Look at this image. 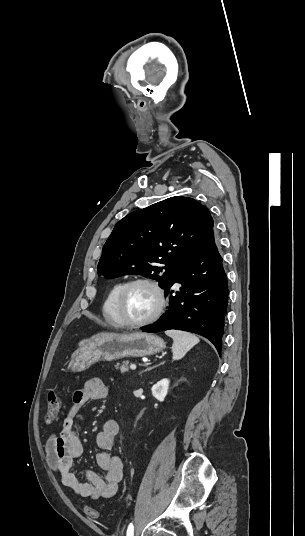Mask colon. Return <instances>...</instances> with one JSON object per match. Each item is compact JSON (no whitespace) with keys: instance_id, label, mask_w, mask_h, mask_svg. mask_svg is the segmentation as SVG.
Listing matches in <instances>:
<instances>
[{"instance_id":"5ec220e1","label":"colon","mask_w":305,"mask_h":536,"mask_svg":"<svg viewBox=\"0 0 305 536\" xmlns=\"http://www.w3.org/2000/svg\"><path fill=\"white\" fill-rule=\"evenodd\" d=\"M61 409V400L60 396L54 391H49L47 394V407H46V422L48 424H53L59 415ZM85 517L90 518H99L100 513L94 509H87L84 512Z\"/></svg>"}]
</instances>
